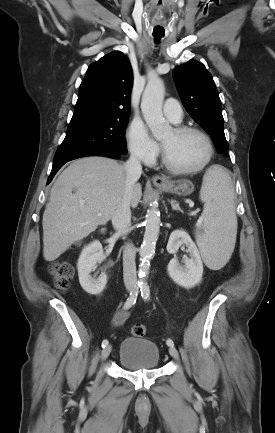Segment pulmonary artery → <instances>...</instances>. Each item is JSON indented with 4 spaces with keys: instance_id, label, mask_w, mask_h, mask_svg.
I'll list each match as a JSON object with an SVG mask.
<instances>
[{
    "instance_id": "e3ab8cb5",
    "label": "pulmonary artery",
    "mask_w": 275,
    "mask_h": 433,
    "mask_svg": "<svg viewBox=\"0 0 275 433\" xmlns=\"http://www.w3.org/2000/svg\"><path fill=\"white\" fill-rule=\"evenodd\" d=\"M165 116L173 123H179L183 117L180 103L173 99H167L163 105Z\"/></svg>"
}]
</instances>
